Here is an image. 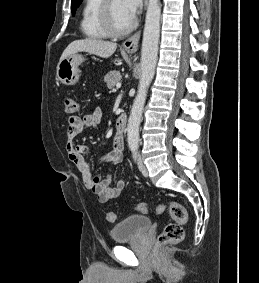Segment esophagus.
Returning <instances> with one entry per match:
<instances>
[{"mask_svg": "<svg viewBox=\"0 0 259 283\" xmlns=\"http://www.w3.org/2000/svg\"><path fill=\"white\" fill-rule=\"evenodd\" d=\"M148 5V0H145V8ZM141 36V30L137 31L135 34L130 36L128 39H126L123 43V48L129 52V53H134L138 49V44Z\"/></svg>", "mask_w": 259, "mask_h": 283, "instance_id": "34e87169", "label": "esophagus"}]
</instances>
